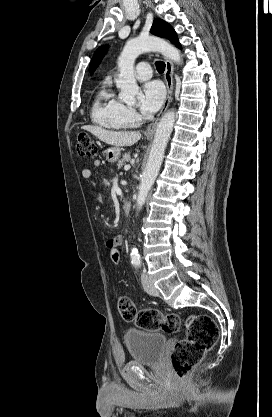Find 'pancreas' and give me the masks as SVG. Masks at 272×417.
<instances>
[{"label":"pancreas","instance_id":"obj_1","mask_svg":"<svg viewBox=\"0 0 272 417\" xmlns=\"http://www.w3.org/2000/svg\"><path fill=\"white\" fill-rule=\"evenodd\" d=\"M131 160L130 153H125L121 159L118 161V168H121L126 162Z\"/></svg>","mask_w":272,"mask_h":417}]
</instances>
